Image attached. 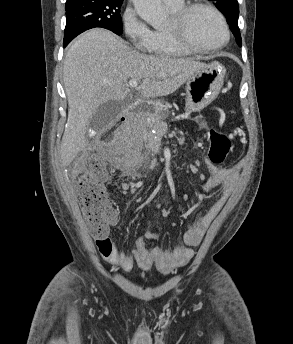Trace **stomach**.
Returning <instances> with one entry per match:
<instances>
[{"label":"stomach","instance_id":"0dacf381","mask_svg":"<svg viewBox=\"0 0 293 344\" xmlns=\"http://www.w3.org/2000/svg\"><path fill=\"white\" fill-rule=\"evenodd\" d=\"M225 68L218 62L205 64L186 81L187 113L197 112L209 105L218 96L224 83ZM152 107L163 116L167 113L158 102Z\"/></svg>","mask_w":293,"mask_h":344}]
</instances>
